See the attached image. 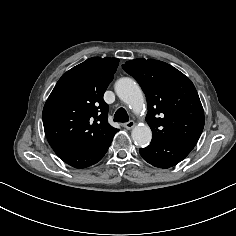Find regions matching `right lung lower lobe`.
I'll use <instances>...</instances> for the list:
<instances>
[{
  "label": "right lung lower lobe",
  "instance_id": "1",
  "mask_svg": "<svg viewBox=\"0 0 236 236\" xmlns=\"http://www.w3.org/2000/svg\"><path fill=\"white\" fill-rule=\"evenodd\" d=\"M109 139L102 144L91 148H73V147H54L55 153L67 164L75 168H85L99 162L107 152L112 139Z\"/></svg>",
  "mask_w": 236,
  "mask_h": 236
}]
</instances>
